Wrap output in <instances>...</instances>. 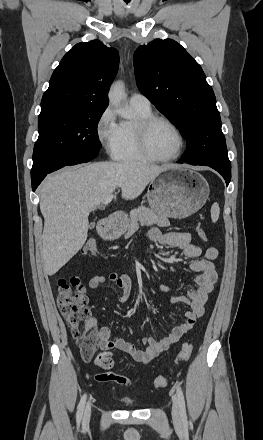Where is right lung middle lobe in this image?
Listing matches in <instances>:
<instances>
[{
	"mask_svg": "<svg viewBox=\"0 0 263 440\" xmlns=\"http://www.w3.org/2000/svg\"><path fill=\"white\" fill-rule=\"evenodd\" d=\"M105 109L41 112L39 137L34 146L31 179L58 165L82 163L86 152H98L97 125Z\"/></svg>",
	"mask_w": 263,
	"mask_h": 440,
	"instance_id": "obj_1",
	"label": "right lung middle lobe"
}]
</instances>
